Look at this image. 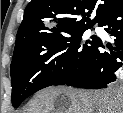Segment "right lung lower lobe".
I'll return each mask as SVG.
<instances>
[{
  "label": "right lung lower lobe",
  "mask_w": 123,
  "mask_h": 113,
  "mask_svg": "<svg viewBox=\"0 0 123 113\" xmlns=\"http://www.w3.org/2000/svg\"><path fill=\"white\" fill-rule=\"evenodd\" d=\"M114 36L115 47L107 48L102 41L77 78L66 85L99 89L116 80V72L123 66V2L109 11L98 23Z\"/></svg>",
  "instance_id": "1"
}]
</instances>
